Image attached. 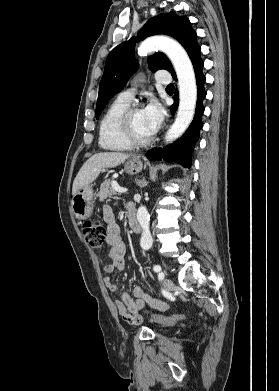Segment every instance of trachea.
Segmentation results:
<instances>
[{"label": "trachea", "instance_id": "trachea-1", "mask_svg": "<svg viewBox=\"0 0 279 391\" xmlns=\"http://www.w3.org/2000/svg\"><path fill=\"white\" fill-rule=\"evenodd\" d=\"M166 89H174L173 84H169V85L166 87Z\"/></svg>", "mask_w": 279, "mask_h": 391}]
</instances>
